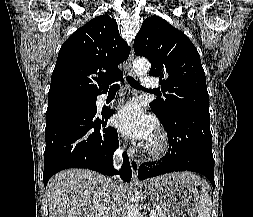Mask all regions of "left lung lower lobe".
<instances>
[{"instance_id":"left-lung-lower-lobe-1","label":"left lung lower lobe","mask_w":253,"mask_h":217,"mask_svg":"<svg viewBox=\"0 0 253 217\" xmlns=\"http://www.w3.org/2000/svg\"><path fill=\"white\" fill-rule=\"evenodd\" d=\"M160 122L167 132L169 151L162 160L141 164L138 178L144 180L169 172L193 171L207 177L214 188L210 115L179 111Z\"/></svg>"}]
</instances>
